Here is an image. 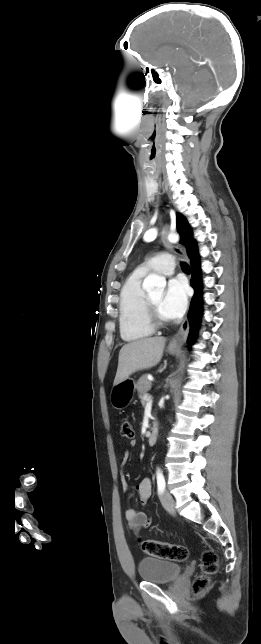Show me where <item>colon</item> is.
<instances>
[{"mask_svg": "<svg viewBox=\"0 0 261 644\" xmlns=\"http://www.w3.org/2000/svg\"><path fill=\"white\" fill-rule=\"evenodd\" d=\"M121 435L125 438H132L134 436L133 425L130 420L124 419L121 423ZM140 547L144 553L149 556L183 562L188 559L189 550L186 546L160 542L151 539H144L140 541ZM218 570V556L213 550H206L201 557V574L195 579L193 583V590L195 593L203 592L210 584V576L214 575Z\"/></svg>", "mask_w": 261, "mask_h": 644, "instance_id": "colon-1", "label": "colon"}]
</instances>
